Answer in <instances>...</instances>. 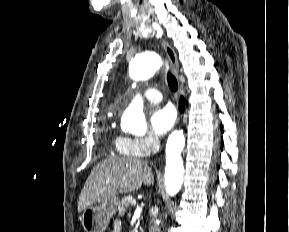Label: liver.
I'll list each match as a JSON object with an SVG mask.
<instances>
[{"mask_svg":"<svg viewBox=\"0 0 289 232\" xmlns=\"http://www.w3.org/2000/svg\"><path fill=\"white\" fill-rule=\"evenodd\" d=\"M153 181L154 174L146 161L134 157H110L91 171L79 196L78 211L117 194L138 190L142 183L150 186Z\"/></svg>","mask_w":289,"mask_h":232,"instance_id":"1","label":"liver"}]
</instances>
